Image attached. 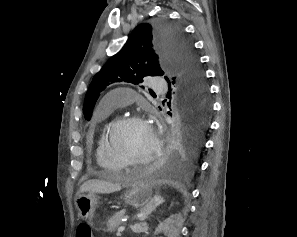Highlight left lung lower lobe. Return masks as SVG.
<instances>
[{
	"label": "left lung lower lobe",
	"instance_id": "0a47b994",
	"mask_svg": "<svg viewBox=\"0 0 297 237\" xmlns=\"http://www.w3.org/2000/svg\"><path fill=\"white\" fill-rule=\"evenodd\" d=\"M169 90L167 98L171 99L170 86ZM175 103L183 125L169 142L168 155L165 160V165L168 168L187 166L198 156L204 145V135L208 128L211 111L209 103L197 105L189 97L177 92Z\"/></svg>",
	"mask_w": 297,
	"mask_h": 237
}]
</instances>
